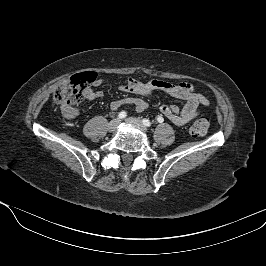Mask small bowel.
<instances>
[{
  "label": "small bowel",
  "mask_w": 266,
  "mask_h": 266,
  "mask_svg": "<svg viewBox=\"0 0 266 266\" xmlns=\"http://www.w3.org/2000/svg\"><path fill=\"white\" fill-rule=\"evenodd\" d=\"M104 83L102 79H97L94 82L95 86H100ZM123 92H128L136 95L148 96L154 92H165L173 97L182 99L185 104L182 107L177 105H162L160 107L161 114L176 126H183L189 123L198 115V107L200 105L208 106V99L196 91L190 83L182 82L178 84L169 83L159 79L140 80L129 78L125 84L119 86ZM103 96V92L98 89L89 88L85 92V98L93 101ZM123 105H133L137 112H143L148 108L147 102L140 98L126 97L114 100L110 104V108L114 111L118 110ZM66 118H74L79 114V110L71 108L70 110L62 109Z\"/></svg>",
  "instance_id": "small-bowel-1"
}]
</instances>
